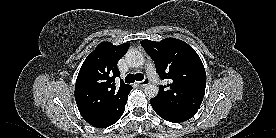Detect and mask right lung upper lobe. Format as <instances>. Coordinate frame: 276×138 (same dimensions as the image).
Masks as SVG:
<instances>
[{
    "label": "right lung upper lobe",
    "mask_w": 276,
    "mask_h": 138,
    "mask_svg": "<svg viewBox=\"0 0 276 138\" xmlns=\"http://www.w3.org/2000/svg\"><path fill=\"white\" fill-rule=\"evenodd\" d=\"M129 43L115 46L100 43L85 59L76 79L75 99L82 117L92 126L106 128L122 116L132 87L115 84L120 76L117 62L124 56Z\"/></svg>",
    "instance_id": "cb5924a9"
}]
</instances>
